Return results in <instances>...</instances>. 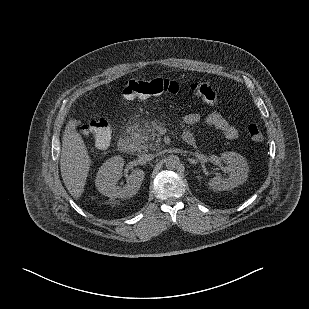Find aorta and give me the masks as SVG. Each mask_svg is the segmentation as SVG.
Returning a JSON list of instances; mask_svg holds the SVG:
<instances>
[{"label": "aorta", "instance_id": "1", "mask_svg": "<svg viewBox=\"0 0 309 309\" xmlns=\"http://www.w3.org/2000/svg\"><path fill=\"white\" fill-rule=\"evenodd\" d=\"M165 166L169 170H176L179 168L181 161L180 158L176 155H169L164 160Z\"/></svg>", "mask_w": 309, "mask_h": 309}]
</instances>
